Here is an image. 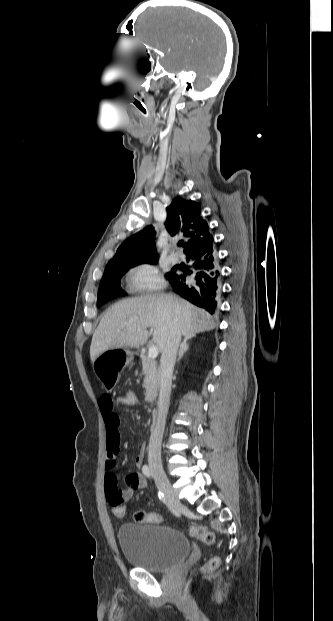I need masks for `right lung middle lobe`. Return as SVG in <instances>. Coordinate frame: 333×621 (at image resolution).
<instances>
[{
	"label": "right lung middle lobe",
	"mask_w": 333,
	"mask_h": 621,
	"mask_svg": "<svg viewBox=\"0 0 333 621\" xmlns=\"http://www.w3.org/2000/svg\"><path fill=\"white\" fill-rule=\"evenodd\" d=\"M142 263L156 264L157 259L107 266L99 286L97 306H101L111 299L126 295L120 287V279L130 268ZM170 275L171 273L169 272L165 277L168 278Z\"/></svg>",
	"instance_id": "obj_1"
}]
</instances>
